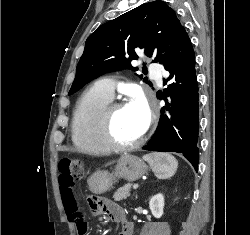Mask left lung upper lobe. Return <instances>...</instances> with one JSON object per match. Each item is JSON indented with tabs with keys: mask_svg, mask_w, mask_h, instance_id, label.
I'll return each instance as SVG.
<instances>
[{
	"mask_svg": "<svg viewBox=\"0 0 250 235\" xmlns=\"http://www.w3.org/2000/svg\"><path fill=\"white\" fill-rule=\"evenodd\" d=\"M183 28L174 10L163 1L144 3L99 26L86 40L69 95L105 73L137 70L130 61L138 59L140 52L163 64Z\"/></svg>",
	"mask_w": 250,
	"mask_h": 235,
	"instance_id": "5c2ea615",
	"label": "left lung upper lobe"
}]
</instances>
